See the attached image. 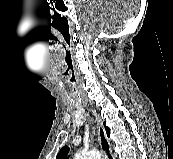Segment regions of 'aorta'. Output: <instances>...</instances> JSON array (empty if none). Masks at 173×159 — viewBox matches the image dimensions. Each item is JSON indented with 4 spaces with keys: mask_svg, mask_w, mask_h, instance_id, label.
<instances>
[{
    "mask_svg": "<svg viewBox=\"0 0 173 159\" xmlns=\"http://www.w3.org/2000/svg\"><path fill=\"white\" fill-rule=\"evenodd\" d=\"M74 159H101L99 151L77 152Z\"/></svg>",
    "mask_w": 173,
    "mask_h": 159,
    "instance_id": "762f6f07",
    "label": "aorta"
}]
</instances>
